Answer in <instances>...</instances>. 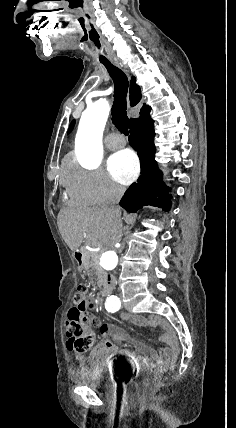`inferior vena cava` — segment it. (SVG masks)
Returning <instances> with one entry per match:
<instances>
[{
    "label": "inferior vena cava",
    "mask_w": 236,
    "mask_h": 428,
    "mask_svg": "<svg viewBox=\"0 0 236 428\" xmlns=\"http://www.w3.org/2000/svg\"><path fill=\"white\" fill-rule=\"evenodd\" d=\"M108 192H111V196L109 198L110 202V208L109 210H112L113 214H115V221L117 224H122L123 222V216L121 215V208L120 206H115V204H118L121 196L124 194V188H121V186H118V184H114V182H109L108 184Z\"/></svg>",
    "instance_id": "1"
}]
</instances>
